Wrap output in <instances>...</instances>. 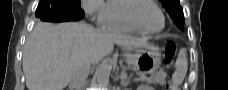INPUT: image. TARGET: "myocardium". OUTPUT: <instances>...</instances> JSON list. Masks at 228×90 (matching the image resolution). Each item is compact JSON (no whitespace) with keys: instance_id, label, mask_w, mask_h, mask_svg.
Listing matches in <instances>:
<instances>
[{"instance_id":"obj_1","label":"myocardium","mask_w":228,"mask_h":90,"mask_svg":"<svg viewBox=\"0 0 228 90\" xmlns=\"http://www.w3.org/2000/svg\"><path fill=\"white\" fill-rule=\"evenodd\" d=\"M144 4H151L152 6H154L160 12L161 17H162V26L158 30H151V29L146 28L142 24L141 20L139 19L137 13H138V10ZM127 18L132 24H134L137 28L142 30L144 33H158V32H161L165 28V25H166V18H165L163 10L159 7V5L155 1H152V0H136V3L131 5L127 9Z\"/></svg>"}]
</instances>
